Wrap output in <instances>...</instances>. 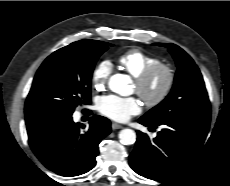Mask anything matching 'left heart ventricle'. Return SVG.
I'll return each mask as SVG.
<instances>
[{
  "label": "left heart ventricle",
  "instance_id": "1",
  "mask_svg": "<svg viewBox=\"0 0 230 186\" xmlns=\"http://www.w3.org/2000/svg\"><path fill=\"white\" fill-rule=\"evenodd\" d=\"M164 82H165V77L162 73L156 75L147 87V92L149 93V95L151 96L157 95L161 91Z\"/></svg>",
  "mask_w": 230,
  "mask_h": 186
}]
</instances>
